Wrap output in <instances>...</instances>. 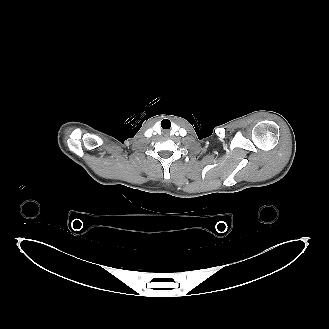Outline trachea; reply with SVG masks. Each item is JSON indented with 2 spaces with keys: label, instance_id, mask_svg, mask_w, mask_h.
<instances>
[{
  "label": "trachea",
  "instance_id": "trachea-1",
  "mask_svg": "<svg viewBox=\"0 0 329 329\" xmlns=\"http://www.w3.org/2000/svg\"><path fill=\"white\" fill-rule=\"evenodd\" d=\"M161 127H162L163 129H170V127H171V122H170V120H168V119H164V120H162V122H161Z\"/></svg>",
  "mask_w": 329,
  "mask_h": 329
}]
</instances>
